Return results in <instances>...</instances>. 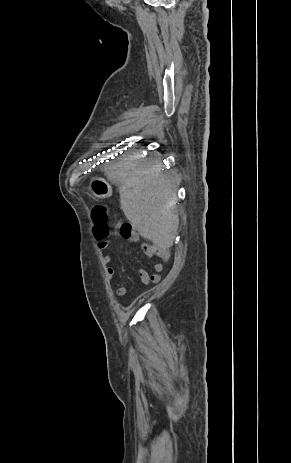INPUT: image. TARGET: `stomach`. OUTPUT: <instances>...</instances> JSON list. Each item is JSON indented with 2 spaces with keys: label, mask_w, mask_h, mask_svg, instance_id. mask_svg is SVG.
Returning a JSON list of instances; mask_svg holds the SVG:
<instances>
[{
  "label": "stomach",
  "mask_w": 291,
  "mask_h": 463,
  "mask_svg": "<svg viewBox=\"0 0 291 463\" xmlns=\"http://www.w3.org/2000/svg\"><path fill=\"white\" fill-rule=\"evenodd\" d=\"M92 194L97 198H105L111 195L110 185L101 178H96L91 182L90 186Z\"/></svg>",
  "instance_id": "stomach-1"
}]
</instances>
